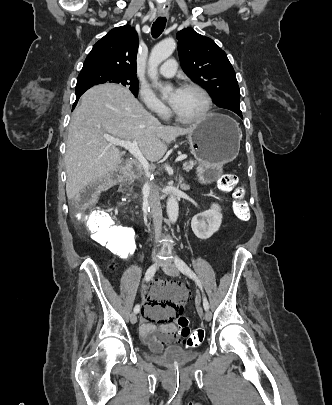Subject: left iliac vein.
Wrapping results in <instances>:
<instances>
[{
    "instance_id": "obj_1",
    "label": "left iliac vein",
    "mask_w": 332,
    "mask_h": 405,
    "mask_svg": "<svg viewBox=\"0 0 332 405\" xmlns=\"http://www.w3.org/2000/svg\"><path fill=\"white\" fill-rule=\"evenodd\" d=\"M162 270L170 275V276H178L179 275V270L176 267V265H174L170 260H166L165 263H163L161 265ZM204 319L206 321H210L212 319V314L210 311L206 310L205 314H204Z\"/></svg>"
}]
</instances>
